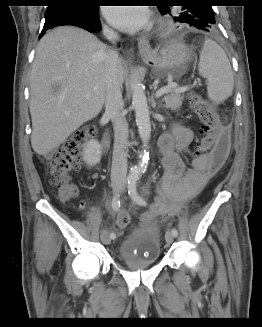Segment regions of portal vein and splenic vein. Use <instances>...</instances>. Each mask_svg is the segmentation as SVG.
Segmentation results:
<instances>
[{"label": "portal vein and splenic vein", "instance_id": "obj_1", "mask_svg": "<svg viewBox=\"0 0 262 327\" xmlns=\"http://www.w3.org/2000/svg\"><path fill=\"white\" fill-rule=\"evenodd\" d=\"M190 87L185 86V87H179L177 83H171L167 87H163L159 89L156 93L157 97L162 96L163 94L167 93L169 90H175L177 92H185L189 89Z\"/></svg>", "mask_w": 262, "mask_h": 327}]
</instances>
